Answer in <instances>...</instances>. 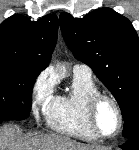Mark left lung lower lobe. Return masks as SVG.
<instances>
[{
    "instance_id": "0a47b994",
    "label": "left lung lower lobe",
    "mask_w": 139,
    "mask_h": 150,
    "mask_svg": "<svg viewBox=\"0 0 139 150\" xmlns=\"http://www.w3.org/2000/svg\"><path fill=\"white\" fill-rule=\"evenodd\" d=\"M120 147L123 150H139V137L136 136L126 139V142L120 145Z\"/></svg>"
}]
</instances>
